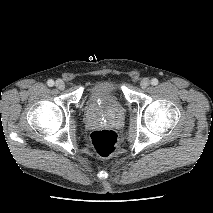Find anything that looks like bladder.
<instances>
[{"instance_id":"bladder-1","label":"bladder","mask_w":213,"mask_h":213,"mask_svg":"<svg viewBox=\"0 0 213 213\" xmlns=\"http://www.w3.org/2000/svg\"><path fill=\"white\" fill-rule=\"evenodd\" d=\"M119 92V85L113 80H104L96 83L89 89L88 101L96 104L98 101L106 102L110 97Z\"/></svg>"}]
</instances>
